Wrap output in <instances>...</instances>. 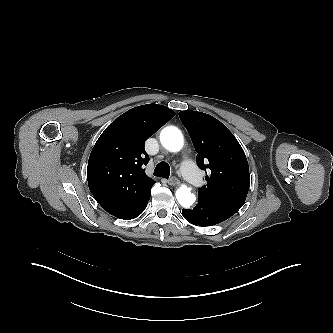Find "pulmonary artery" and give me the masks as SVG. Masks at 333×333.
I'll return each mask as SVG.
<instances>
[{"label": "pulmonary artery", "mask_w": 333, "mask_h": 333, "mask_svg": "<svg viewBox=\"0 0 333 333\" xmlns=\"http://www.w3.org/2000/svg\"><path fill=\"white\" fill-rule=\"evenodd\" d=\"M181 171L190 184L198 187L202 183V178L194 163L184 158L181 163Z\"/></svg>", "instance_id": "e3ab8cb5"}]
</instances>
